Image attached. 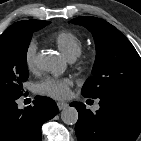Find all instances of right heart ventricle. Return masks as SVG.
Here are the masks:
<instances>
[{"label":"right heart ventricle","instance_id":"obj_1","mask_svg":"<svg viewBox=\"0 0 141 141\" xmlns=\"http://www.w3.org/2000/svg\"><path fill=\"white\" fill-rule=\"evenodd\" d=\"M53 40L68 60H74L82 51V39L71 31H59L53 35Z\"/></svg>","mask_w":141,"mask_h":141}]
</instances>
